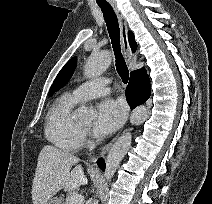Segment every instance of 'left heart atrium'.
<instances>
[{
    "label": "left heart atrium",
    "mask_w": 212,
    "mask_h": 204,
    "mask_svg": "<svg viewBox=\"0 0 212 204\" xmlns=\"http://www.w3.org/2000/svg\"><path fill=\"white\" fill-rule=\"evenodd\" d=\"M126 107L121 100L106 99L97 107V118L94 123V132L99 136L113 133L124 121Z\"/></svg>",
    "instance_id": "obj_1"
}]
</instances>
